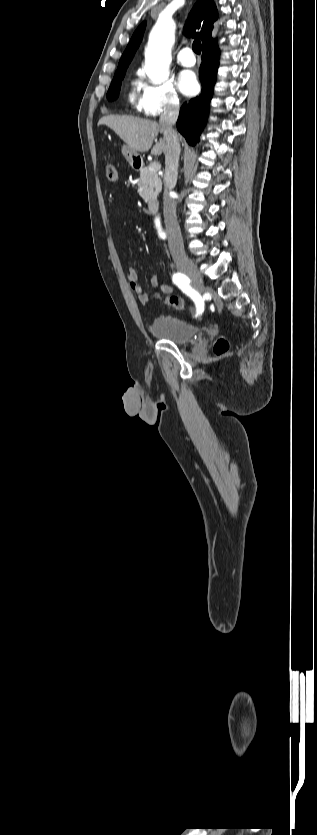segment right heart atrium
<instances>
[{"instance_id": "d8ad5b80", "label": "right heart atrium", "mask_w": 317, "mask_h": 835, "mask_svg": "<svg viewBox=\"0 0 317 835\" xmlns=\"http://www.w3.org/2000/svg\"><path fill=\"white\" fill-rule=\"evenodd\" d=\"M180 105V97L171 82L141 83V94L137 101V108L143 115L154 118L174 113L179 110Z\"/></svg>"}]
</instances>
